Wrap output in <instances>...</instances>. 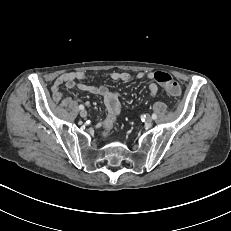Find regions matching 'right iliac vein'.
Returning a JSON list of instances; mask_svg holds the SVG:
<instances>
[{"instance_id":"right-iliac-vein-1","label":"right iliac vein","mask_w":231,"mask_h":231,"mask_svg":"<svg viewBox=\"0 0 231 231\" xmlns=\"http://www.w3.org/2000/svg\"><path fill=\"white\" fill-rule=\"evenodd\" d=\"M80 116L83 117V118H85V117L87 116V111L84 110V109L81 110V111H80Z\"/></svg>"}]
</instances>
